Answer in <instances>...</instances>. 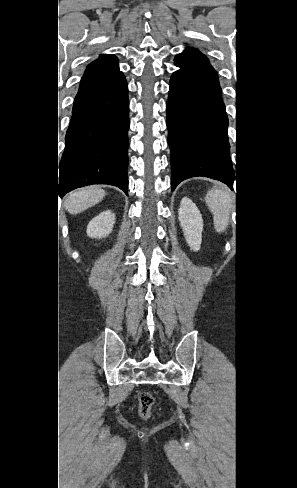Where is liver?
Listing matches in <instances>:
<instances>
[{"instance_id": "obj_1", "label": "liver", "mask_w": 297, "mask_h": 488, "mask_svg": "<svg viewBox=\"0 0 297 488\" xmlns=\"http://www.w3.org/2000/svg\"><path fill=\"white\" fill-rule=\"evenodd\" d=\"M105 191L98 187H89L69 194L65 200V208L70 214H78L99 203Z\"/></svg>"}]
</instances>
